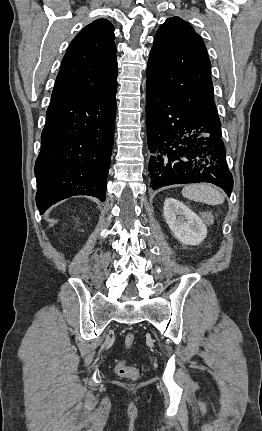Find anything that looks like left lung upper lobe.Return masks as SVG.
I'll list each match as a JSON object with an SVG mask.
<instances>
[{
	"instance_id": "obj_1",
	"label": "left lung upper lobe",
	"mask_w": 262,
	"mask_h": 431,
	"mask_svg": "<svg viewBox=\"0 0 262 431\" xmlns=\"http://www.w3.org/2000/svg\"><path fill=\"white\" fill-rule=\"evenodd\" d=\"M210 70L206 46L193 27L179 17L168 18L155 35L147 83L189 108L202 122L220 125Z\"/></svg>"
}]
</instances>
